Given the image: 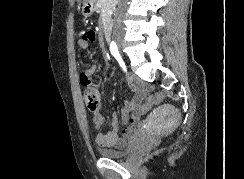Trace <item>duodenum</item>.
Instances as JSON below:
<instances>
[{
	"label": "duodenum",
	"instance_id": "duodenum-1",
	"mask_svg": "<svg viewBox=\"0 0 244 179\" xmlns=\"http://www.w3.org/2000/svg\"><path fill=\"white\" fill-rule=\"evenodd\" d=\"M102 35L106 41L111 40L110 26L107 23L103 27Z\"/></svg>",
	"mask_w": 244,
	"mask_h": 179
}]
</instances>
